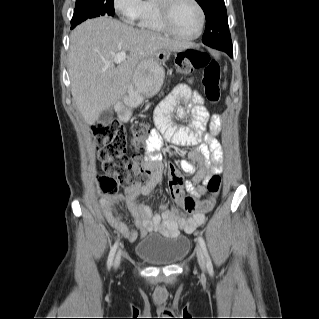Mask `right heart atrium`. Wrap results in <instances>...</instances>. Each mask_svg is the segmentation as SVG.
<instances>
[{
  "label": "right heart atrium",
  "mask_w": 319,
  "mask_h": 319,
  "mask_svg": "<svg viewBox=\"0 0 319 319\" xmlns=\"http://www.w3.org/2000/svg\"><path fill=\"white\" fill-rule=\"evenodd\" d=\"M142 3V0H114L113 7L122 20L127 23H135Z\"/></svg>",
  "instance_id": "d8ad5b80"
}]
</instances>
